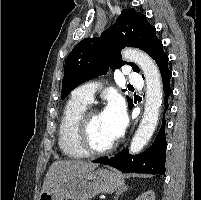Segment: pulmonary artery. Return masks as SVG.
I'll use <instances>...</instances> for the list:
<instances>
[{
  "instance_id": "1",
  "label": "pulmonary artery",
  "mask_w": 201,
  "mask_h": 200,
  "mask_svg": "<svg viewBox=\"0 0 201 200\" xmlns=\"http://www.w3.org/2000/svg\"><path fill=\"white\" fill-rule=\"evenodd\" d=\"M127 80L129 83L142 86V77L139 73L131 72L129 70L126 71ZM99 85L97 83H88L83 86H80L73 92V96L90 103L95 93L97 92Z\"/></svg>"
}]
</instances>
